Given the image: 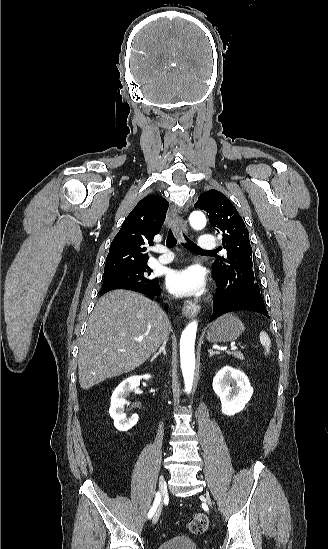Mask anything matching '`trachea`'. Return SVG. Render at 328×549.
Wrapping results in <instances>:
<instances>
[{"instance_id": "trachea-1", "label": "trachea", "mask_w": 328, "mask_h": 549, "mask_svg": "<svg viewBox=\"0 0 328 549\" xmlns=\"http://www.w3.org/2000/svg\"><path fill=\"white\" fill-rule=\"evenodd\" d=\"M183 238H184V241L181 242L183 247L191 251H202V249L198 247V245L194 244V242H192V240H190L184 234H183ZM176 244H177V239L175 238L173 231L170 229L168 232L166 245L167 247L171 248V247H175Z\"/></svg>"}]
</instances>
